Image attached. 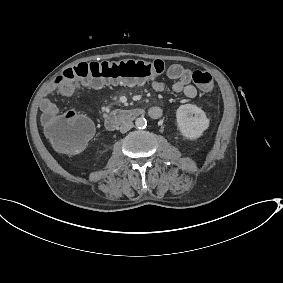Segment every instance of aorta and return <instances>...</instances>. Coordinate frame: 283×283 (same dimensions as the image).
I'll use <instances>...</instances> for the list:
<instances>
[{"label": "aorta", "instance_id": "1", "mask_svg": "<svg viewBox=\"0 0 283 283\" xmlns=\"http://www.w3.org/2000/svg\"><path fill=\"white\" fill-rule=\"evenodd\" d=\"M135 125L139 129H144L147 126V121L144 117H139L135 120Z\"/></svg>", "mask_w": 283, "mask_h": 283}]
</instances>
